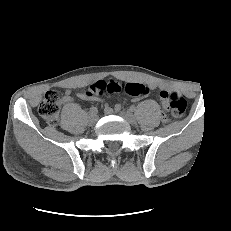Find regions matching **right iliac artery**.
<instances>
[{
  "mask_svg": "<svg viewBox=\"0 0 231 231\" xmlns=\"http://www.w3.org/2000/svg\"><path fill=\"white\" fill-rule=\"evenodd\" d=\"M89 113L91 115H96L98 113V109L96 107H91Z\"/></svg>",
  "mask_w": 231,
  "mask_h": 231,
  "instance_id": "1",
  "label": "right iliac artery"
}]
</instances>
